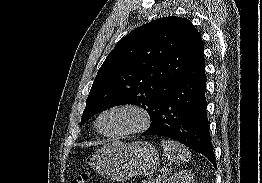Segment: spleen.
Returning <instances> with one entry per match:
<instances>
[{
  "mask_svg": "<svg viewBox=\"0 0 262 183\" xmlns=\"http://www.w3.org/2000/svg\"><path fill=\"white\" fill-rule=\"evenodd\" d=\"M161 146L165 158L174 164H184L189 161L191 155L189 150L182 144L173 140H162Z\"/></svg>",
  "mask_w": 262,
  "mask_h": 183,
  "instance_id": "spleen-1",
  "label": "spleen"
}]
</instances>
